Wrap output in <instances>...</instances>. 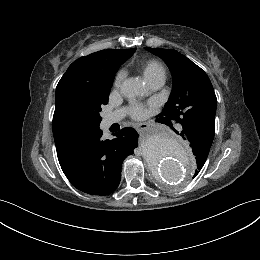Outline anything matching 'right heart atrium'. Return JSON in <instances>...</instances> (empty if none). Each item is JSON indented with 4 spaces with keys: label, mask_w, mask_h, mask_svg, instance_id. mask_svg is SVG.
Instances as JSON below:
<instances>
[{
    "label": "right heart atrium",
    "mask_w": 260,
    "mask_h": 260,
    "mask_svg": "<svg viewBox=\"0 0 260 260\" xmlns=\"http://www.w3.org/2000/svg\"><path fill=\"white\" fill-rule=\"evenodd\" d=\"M126 78V72L121 70L117 73L114 81V87L118 89Z\"/></svg>",
    "instance_id": "right-heart-atrium-1"
}]
</instances>
